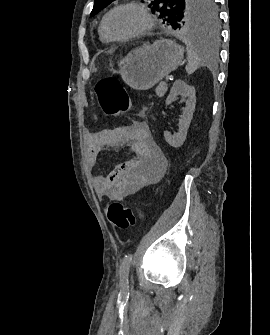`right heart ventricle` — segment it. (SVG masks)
<instances>
[{"label": "right heart ventricle", "mask_w": 270, "mask_h": 335, "mask_svg": "<svg viewBox=\"0 0 270 335\" xmlns=\"http://www.w3.org/2000/svg\"><path fill=\"white\" fill-rule=\"evenodd\" d=\"M99 37L100 40L104 43H109L111 40L104 34L101 27H99Z\"/></svg>", "instance_id": "obj_1"}]
</instances>
